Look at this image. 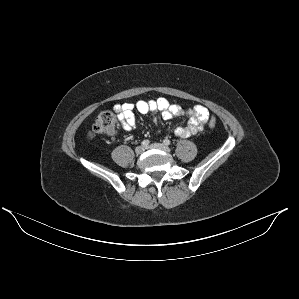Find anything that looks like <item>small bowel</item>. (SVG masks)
<instances>
[{
    "mask_svg": "<svg viewBox=\"0 0 299 299\" xmlns=\"http://www.w3.org/2000/svg\"><path fill=\"white\" fill-rule=\"evenodd\" d=\"M114 110L117 113L121 127L125 130L134 127L135 111L141 114H160L166 120L174 116H186L188 117L187 124L175 129V134L182 138H187L200 132L209 120V111L205 107L197 105L183 108L180 105L170 103L164 97L154 100H138L135 103H119L114 106Z\"/></svg>",
    "mask_w": 299,
    "mask_h": 299,
    "instance_id": "1",
    "label": "small bowel"
}]
</instances>
